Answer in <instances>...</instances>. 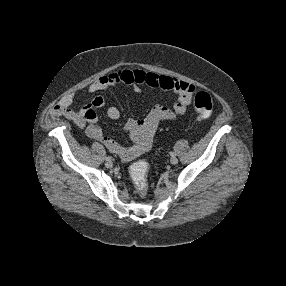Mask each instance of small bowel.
<instances>
[{"instance_id": "c3829d8e", "label": "small bowel", "mask_w": 286, "mask_h": 286, "mask_svg": "<svg viewBox=\"0 0 286 286\" xmlns=\"http://www.w3.org/2000/svg\"><path fill=\"white\" fill-rule=\"evenodd\" d=\"M121 85L132 86L136 93L141 91L142 85H146L150 88L161 89L176 95L172 109L155 106L148 112L145 118L129 119L126 122L125 130L133 141L132 146H121L113 139L106 137L102 129L97 125V113L95 109L104 104V100L100 96L95 97L91 104L77 109L74 106L75 95L68 93L54 108L53 114L63 115L72 120L85 130L91 140L102 143L122 161L128 162L145 153L150 148L153 137L161 122L175 120L187 112L192 103L196 87L191 83L168 75H158L144 72L140 69H118L98 78L89 86L88 92L94 94ZM107 115L110 119L116 120L120 117V110L116 106H110L107 109Z\"/></svg>"}]
</instances>
